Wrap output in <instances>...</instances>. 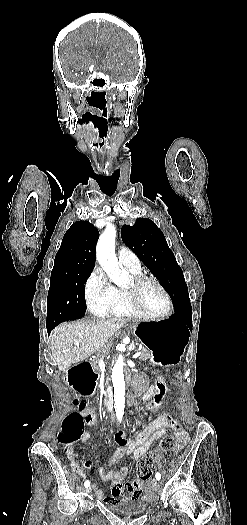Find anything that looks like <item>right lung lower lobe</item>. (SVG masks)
Here are the masks:
<instances>
[{"label":"right lung lower lobe","mask_w":247,"mask_h":525,"mask_svg":"<svg viewBox=\"0 0 247 525\" xmlns=\"http://www.w3.org/2000/svg\"><path fill=\"white\" fill-rule=\"evenodd\" d=\"M54 328V327H53ZM52 327H47V330H48V334H50L51 330L53 329Z\"/></svg>","instance_id":"obj_1"}]
</instances>
